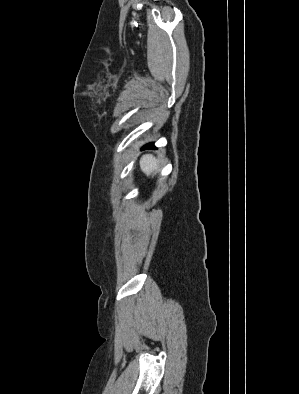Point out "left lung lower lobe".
Segmentation results:
<instances>
[{
    "label": "left lung lower lobe",
    "instance_id": "left-lung-lower-lobe-1",
    "mask_svg": "<svg viewBox=\"0 0 299 394\" xmlns=\"http://www.w3.org/2000/svg\"><path fill=\"white\" fill-rule=\"evenodd\" d=\"M149 148H155L154 143H150V144L145 145V146L142 148V150L149 149Z\"/></svg>",
    "mask_w": 299,
    "mask_h": 394
}]
</instances>
